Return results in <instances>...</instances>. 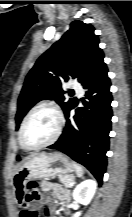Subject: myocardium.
<instances>
[{
	"mask_svg": "<svg viewBox=\"0 0 132 217\" xmlns=\"http://www.w3.org/2000/svg\"><path fill=\"white\" fill-rule=\"evenodd\" d=\"M41 108H50L57 116V128L55 131V134L53 135V137L48 140L47 142L38 145V146H28L25 141H24V131L26 128L27 123L29 122V120L31 119V117ZM63 127H64V116L63 113L61 111V109L59 108V106L53 102V101H44L41 102L39 104H37L36 106H34L30 112L28 113V115L26 116V118L24 119L20 132H19V143L21 145V147L27 151H37L43 148H46L50 145H52L53 143H55L59 137L62 134L63 131Z\"/></svg>",
	"mask_w": 132,
	"mask_h": 217,
	"instance_id": "myocardium-1",
	"label": "myocardium"
}]
</instances>
